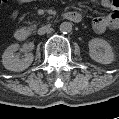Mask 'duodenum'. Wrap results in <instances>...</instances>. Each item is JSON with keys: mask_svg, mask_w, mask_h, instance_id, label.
<instances>
[{"mask_svg": "<svg viewBox=\"0 0 119 119\" xmlns=\"http://www.w3.org/2000/svg\"><path fill=\"white\" fill-rule=\"evenodd\" d=\"M63 18L74 23H79L82 20V16L78 12H67ZM14 36L17 40L24 41L28 37V31L25 28H19L15 31Z\"/></svg>", "mask_w": 119, "mask_h": 119, "instance_id": "duodenum-1", "label": "duodenum"}]
</instances>
